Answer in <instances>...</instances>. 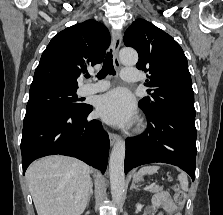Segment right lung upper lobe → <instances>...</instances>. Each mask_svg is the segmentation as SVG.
Wrapping results in <instances>:
<instances>
[{
	"label": "right lung upper lobe",
	"instance_id": "cb5924a9",
	"mask_svg": "<svg viewBox=\"0 0 223 215\" xmlns=\"http://www.w3.org/2000/svg\"><path fill=\"white\" fill-rule=\"evenodd\" d=\"M109 42L108 29L92 19L59 32L41 56L30 92L76 91L77 78L88 65L103 61Z\"/></svg>",
	"mask_w": 223,
	"mask_h": 215
}]
</instances>
